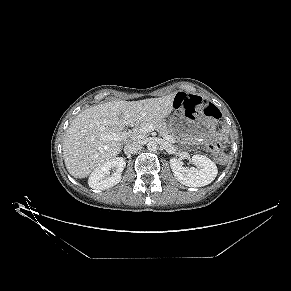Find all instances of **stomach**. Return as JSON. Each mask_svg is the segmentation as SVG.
I'll return each instance as SVG.
<instances>
[{
    "label": "stomach",
    "mask_w": 291,
    "mask_h": 291,
    "mask_svg": "<svg viewBox=\"0 0 291 291\" xmlns=\"http://www.w3.org/2000/svg\"><path fill=\"white\" fill-rule=\"evenodd\" d=\"M170 126L173 131L184 130L185 136L189 139L205 140L215 132L216 122L206 117L190 119L183 114L176 113L170 117Z\"/></svg>",
    "instance_id": "stomach-1"
}]
</instances>
